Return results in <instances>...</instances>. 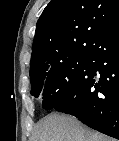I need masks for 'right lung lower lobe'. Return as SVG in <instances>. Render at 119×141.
<instances>
[{"instance_id": "98d812e1", "label": "right lung lower lobe", "mask_w": 119, "mask_h": 141, "mask_svg": "<svg viewBox=\"0 0 119 141\" xmlns=\"http://www.w3.org/2000/svg\"><path fill=\"white\" fill-rule=\"evenodd\" d=\"M88 58L90 66L70 98L54 108L119 139V19L106 28Z\"/></svg>"}]
</instances>
